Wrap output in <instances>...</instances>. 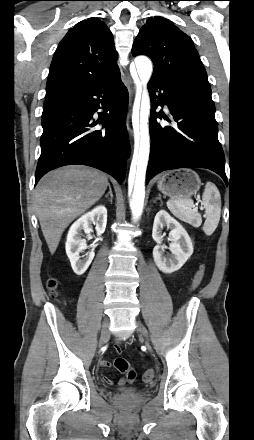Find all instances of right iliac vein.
I'll list each match as a JSON object with an SVG mask.
<instances>
[{
	"label": "right iliac vein",
	"instance_id": "1",
	"mask_svg": "<svg viewBox=\"0 0 254 440\" xmlns=\"http://www.w3.org/2000/svg\"><path fill=\"white\" fill-rule=\"evenodd\" d=\"M108 340H109V320L106 319L102 325L100 346L104 345Z\"/></svg>",
	"mask_w": 254,
	"mask_h": 440
}]
</instances>
